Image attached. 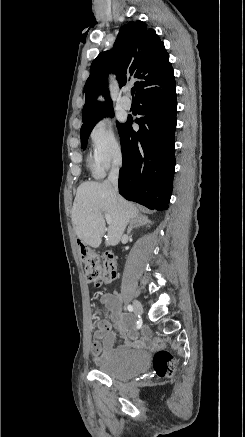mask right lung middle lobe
<instances>
[{
	"label": "right lung middle lobe",
	"instance_id": "1",
	"mask_svg": "<svg viewBox=\"0 0 245 437\" xmlns=\"http://www.w3.org/2000/svg\"><path fill=\"white\" fill-rule=\"evenodd\" d=\"M105 116H110L113 117L114 113H113V109L107 110L106 112H104L102 115H100L95 121L84 125L81 127L80 130V137H81V146L82 148L86 147L87 141H88V137L90 135L91 130L93 129V127L95 126V124L103 117ZM123 124H120L117 122V127L118 130L120 131V129L122 128Z\"/></svg>",
	"mask_w": 245,
	"mask_h": 437
}]
</instances>
